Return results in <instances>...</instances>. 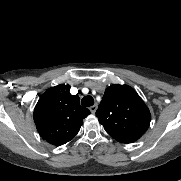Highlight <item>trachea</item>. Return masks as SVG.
Instances as JSON below:
<instances>
[{
	"instance_id": "3493384b",
	"label": "trachea",
	"mask_w": 181,
	"mask_h": 181,
	"mask_svg": "<svg viewBox=\"0 0 181 181\" xmlns=\"http://www.w3.org/2000/svg\"><path fill=\"white\" fill-rule=\"evenodd\" d=\"M94 104V99L92 96H85L82 100H81V105L85 106V107H89L92 106Z\"/></svg>"
}]
</instances>
